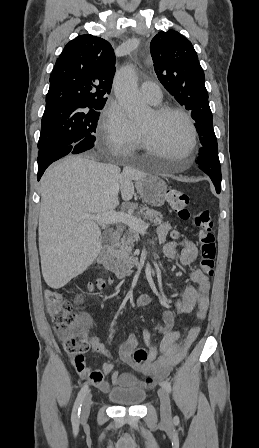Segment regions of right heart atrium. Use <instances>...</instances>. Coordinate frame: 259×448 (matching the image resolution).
<instances>
[{"label": "right heart atrium", "mask_w": 259, "mask_h": 448, "mask_svg": "<svg viewBox=\"0 0 259 448\" xmlns=\"http://www.w3.org/2000/svg\"><path fill=\"white\" fill-rule=\"evenodd\" d=\"M141 142L138 128L131 122L123 107L113 101L106 108L99 128L102 152H113V157H132Z\"/></svg>", "instance_id": "right-heart-atrium-1"}]
</instances>
